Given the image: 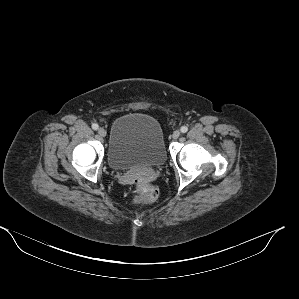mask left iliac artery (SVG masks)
<instances>
[{"label": "left iliac artery", "mask_w": 299, "mask_h": 299, "mask_svg": "<svg viewBox=\"0 0 299 299\" xmlns=\"http://www.w3.org/2000/svg\"><path fill=\"white\" fill-rule=\"evenodd\" d=\"M180 130L182 133H186L188 131V128L186 126H182Z\"/></svg>", "instance_id": "left-iliac-artery-1"}]
</instances>
